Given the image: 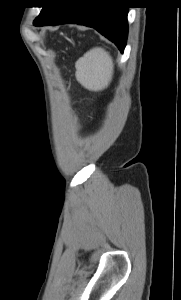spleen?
I'll use <instances>...</instances> for the list:
<instances>
[{"label":"spleen","instance_id":"spleen-1","mask_svg":"<svg viewBox=\"0 0 181 300\" xmlns=\"http://www.w3.org/2000/svg\"><path fill=\"white\" fill-rule=\"evenodd\" d=\"M77 81L89 91L107 88L113 75V62L103 48H93L75 63Z\"/></svg>","mask_w":181,"mask_h":300}]
</instances>
